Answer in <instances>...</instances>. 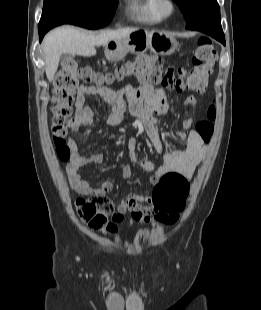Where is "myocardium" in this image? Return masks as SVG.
I'll return each instance as SVG.
<instances>
[{"label":"myocardium","mask_w":261,"mask_h":310,"mask_svg":"<svg viewBox=\"0 0 261 310\" xmlns=\"http://www.w3.org/2000/svg\"><path fill=\"white\" fill-rule=\"evenodd\" d=\"M157 9L163 18L170 17L176 10L173 0H157Z\"/></svg>","instance_id":"1"}]
</instances>
